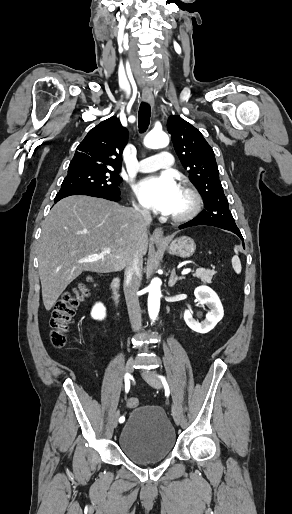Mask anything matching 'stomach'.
I'll return each instance as SVG.
<instances>
[{
    "instance_id": "stomach-1",
    "label": "stomach",
    "mask_w": 292,
    "mask_h": 514,
    "mask_svg": "<svg viewBox=\"0 0 292 514\" xmlns=\"http://www.w3.org/2000/svg\"><path fill=\"white\" fill-rule=\"evenodd\" d=\"M156 246H167L165 242H155ZM169 254L172 256H180V258H190L193 256L196 250V244L194 240L188 238V236H182V238H177V240H173L170 246H167Z\"/></svg>"
}]
</instances>
